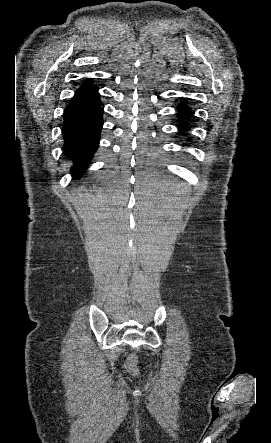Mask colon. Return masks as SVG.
I'll return each mask as SVG.
<instances>
[{
	"instance_id": "colon-1",
	"label": "colon",
	"mask_w": 271,
	"mask_h": 443,
	"mask_svg": "<svg viewBox=\"0 0 271 443\" xmlns=\"http://www.w3.org/2000/svg\"><path fill=\"white\" fill-rule=\"evenodd\" d=\"M125 369L132 375L138 374V358L135 354L129 355L125 363Z\"/></svg>"
}]
</instances>
